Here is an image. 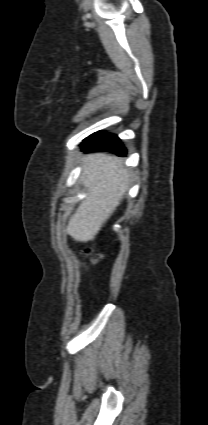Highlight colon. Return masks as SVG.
<instances>
[{"label": "colon", "mask_w": 208, "mask_h": 425, "mask_svg": "<svg viewBox=\"0 0 208 425\" xmlns=\"http://www.w3.org/2000/svg\"><path fill=\"white\" fill-rule=\"evenodd\" d=\"M84 255L87 256L93 263L98 262L101 259V255L92 248H86Z\"/></svg>", "instance_id": "5ec220e1"}]
</instances>
